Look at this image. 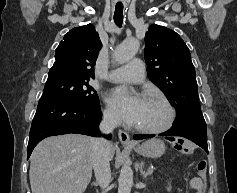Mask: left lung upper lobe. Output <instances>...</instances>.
<instances>
[{"mask_svg": "<svg viewBox=\"0 0 237 193\" xmlns=\"http://www.w3.org/2000/svg\"><path fill=\"white\" fill-rule=\"evenodd\" d=\"M144 54L150 80L177 109L174 127L206 129L191 54L181 37L171 29L153 24L145 35Z\"/></svg>", "mask_w": 237, "mask_h": 193, "instance_id": "1", "label": "left lung upper lobe"}]
</instances>
